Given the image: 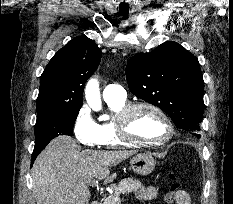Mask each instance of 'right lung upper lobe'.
Segmentation results:
<instances>
[{
	"label": "right lung upper lobe",
	"instance_id": "cb5924a9",
	"mask_svg": "<svg viewBox=\"0 0 233 204\" xmlns=\"http://www.w3.org/2000/svg\"><path fill=\"white\" fill-rule=\"evenodd\" d=\"M101 51L79 36L61 48L44 69L37 98V115L80 109L84 83L97 69Z\"/></svg>",
	"mask_w": 233,
	"mask_h": 204
}]
</instances>
